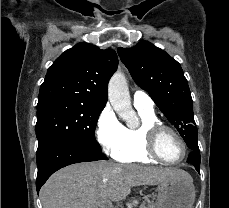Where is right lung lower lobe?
<instances>
[{
    "label": "right lung lower lobe",
    "instance_id": "1",
    "mask_svg": "<svg viewBox=\"0 0 229 208\" xmlns=\"http://www.w3.org/2000/svg\"><path fill=\"white\" fill-rule=\"evenodd\" d=\"M96 160H107V157L101 149L92 148L79 141L61 140L51 144L37 154V193L55 171L70 164Z\"/></svg>",
    "mask_w": 229,
    "mask_h": 208
}]
</instances>
